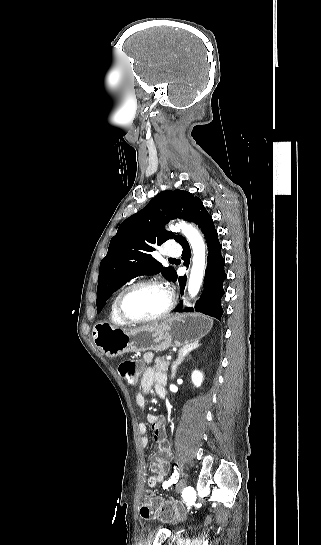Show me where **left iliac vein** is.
I'll return each mask as SVG.
<instances>
[{
  "label": "left iliac vein",
  "mask_w": 321,
  "mask_h": 545,
  "mask_svg": "<svg viewBox=\"0 0 321 545\" xmlns=\"http://www.w3.org/2000/svg\"><path fill=\"white\" fill-rule=\"evenodd\" d=\"M186 485H187V480L185 477H183L176 485V493L178 494L181 493L183 489L186 487Z\"/></svg>",
  "instance_id": "4c4485c4"
}]
</instances>
